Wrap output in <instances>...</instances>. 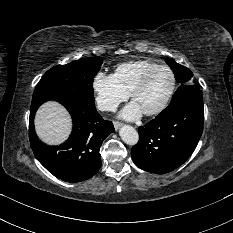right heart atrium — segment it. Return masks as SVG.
Wrapping results in <instances>:
<instances>
[{
    "mask_svg": "<svg viewBox=\"0 0 233 233\" xmlns=\"http://www.w3.org/2000/svg\"><path fill=\"white\" fill-rule=\"evenodd\" d=\"M92 90L97 107L102 111H114L129 97L112 74L97 72L92 80Z\"/></svg>",
    "mask_w": 233,
    "mask_h": 233,
    "instance_id": "obj_1",
    "label": "right heart atrium"
}]
</instances>
